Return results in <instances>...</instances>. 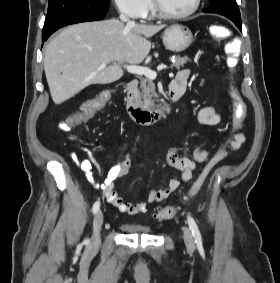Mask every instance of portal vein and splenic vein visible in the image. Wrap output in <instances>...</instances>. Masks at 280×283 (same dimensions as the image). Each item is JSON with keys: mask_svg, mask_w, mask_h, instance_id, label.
<instances>
[{"mask_svg": "<svg viewBox=\"0 0 280 283\" xmlns=\"http://www.w3.org/2000/svg\"><path fill=\"white\" fill-rule=\"evenodd\" d=\"M106 63H103L101 67H105ZM125 68L129 73L136 74V75H144L146 78L154 80L156 79L157 73L156 71H153L149 69L148 67H142L138 65H126ZM167 66L164 64H161L157 67V70L160 71L162 69H166Z\"/></svg>", "mask_w": 280, "mask_h": 283, "instance_id": "portal-vein-and-splenic-vein-1", "label": "portal vein and splenic vein"}]
</instances>
